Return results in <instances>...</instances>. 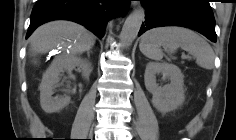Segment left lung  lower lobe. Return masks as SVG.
Instances as JSON below:
<instances>
[{
	"label": "left lung lower lobe",
	"instance_id": "left-lung-lower-lobe-1",
	"mask_svg": "<svg viewBox=\"0 0 236 140\" xmlns=\"http://www.w3.org/2000/svg\"><path fill=\"white\" fill-rule=\"evenodd\" d=\"M146 20L138 35L161 26L194 29L216 42L215 19L209 0H142Z\"/></svg>",
	"mask_w": 236,
	"mask_h": 140
}]
</instances>
